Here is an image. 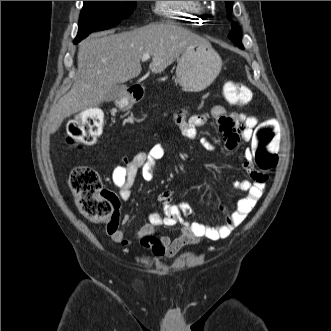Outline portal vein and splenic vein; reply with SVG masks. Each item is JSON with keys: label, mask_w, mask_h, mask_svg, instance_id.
Segmentation results:
<instances>
[{"label": "portal vein and splenic vein", "mask_w": 331, "mask_h": 331, "mask_svg": "<svg viewBox=\"0 0 331 331\" xmlns=\"http://www.w3.org/2000/svg\"><path fill=\"white\" fill-rule=\"evenodd\" d=\"M150 58V54H144L143 56H142V62H145V61H147L148 59Z\"/></svg>", "instance_id": "1"}]
</instances>
